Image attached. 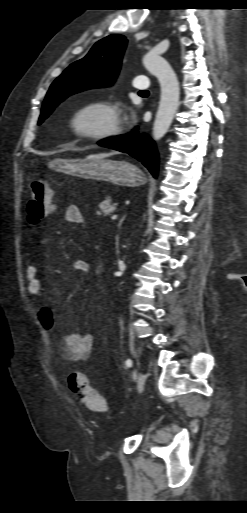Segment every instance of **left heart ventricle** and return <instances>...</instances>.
I'll return each mask as SVG.
<instances>
[{"mask_svg": "<svg viewBox=\"0 0 247 513\" xmlns=\"http://www.w3.org/2000/svg\"><path fill=\"white\" fill-rule=\"evenodd\" d=\"M107 123V118L101 112H92L82 118L85 127H99Z\"/></svg>", "mask_w": 247, "mask_h": 513, "instance_id": "b2bd125f", "label": "left heart ventricle"}]
</instances>
